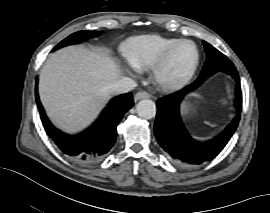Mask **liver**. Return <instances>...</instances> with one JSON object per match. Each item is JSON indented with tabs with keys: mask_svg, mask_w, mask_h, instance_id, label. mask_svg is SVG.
Here are the masks:
<instances>
[{
	"mask_svg": "<svg viewBox=\"0 0 270 213\" xmlns=\"http://www.w3.org/2000/svg\"><path fill=\"white\" fill-rule=\"evenodd\" d=\"M119 75L103 50L68 46L53 53L41 69L40 99L57 127L77 132L97 117Z\"/></svg>",
	"mask_w": 270,
	"mask_h": 213,
	"instance_id": "liver-1",
	"label": "liver"
}]
</instances>
